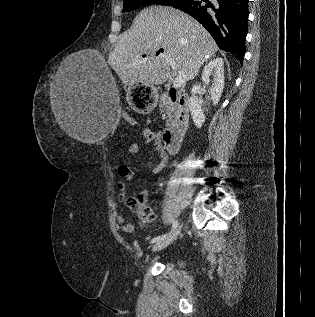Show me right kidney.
Masks as SVG:
<instances>
[{
	"instance_id": "right-kidney-1",
	"label": "right kidney",
	"mask_w": 315,
	"mask_h": 317,
	"mask_svg": "<svg viewBox=\"0 0 315 317\" xmlns=\"http://www.w3.org/2000/svg\"><path fill=\"white\" fill-rule=\"evenodd\" d=\"M210 76L212 79V87L210 88V95L213 105H216L223 92L224 88V61L222 58H215L211 60L204 68L199 83H196L191 90L192 96L188 100V106L193 118V122L197 128H201L205 122V115L202 111L200 103L197 101L196 94L203 91L210 83ZM202 85V86H201Z\"/></svg>"
}]
</instances>
